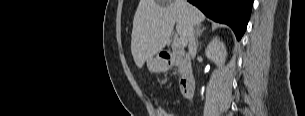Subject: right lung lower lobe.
Returning <instances> with one entry per match:
<instances>
[{"instance_id":"98d812e1","label":"right lung lower lobe","mask_w":305,"mask_h":116,"mask_svg":"<svg viewBox=\"0 0 305 116\" xmlns=\"http://www.w3.org/2000/svg\"><path fill=\"white\" fill-rule=\"evenodd\" d=\"M207 17L229 25L238 40L246 30L253 0H188Z\"/></svg>"}]
</instances>
